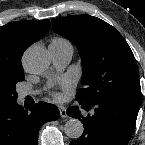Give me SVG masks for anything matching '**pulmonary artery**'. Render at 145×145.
Returning <instances> with one entry per match:
<instances>
[{"label": "pulmonary artery", "mask_w": 145, "mask_h": 145, "mask_svg": "<svg viewBox=\"0 0 145 145\" xmlns=\"http://www.w3.org/2000/svg\"><path fill=\"white\" fill-rule=\"evenodd\" d=\"M49 52L51 54L54 65L57 68L65 67L71 60L73 54V48L70 46L66 47H54L49 46ZM32 94L31 92H21L20 97L24 98L27 95Z\"/></svg>", "instance_id": "e3ab8cb5"}]
</instances>
